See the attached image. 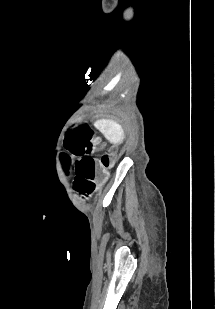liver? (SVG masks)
Masks as SVG:
<instances>
[{
    "mask_svg": "<svg viewBox=\"0 0 215 309\" xmlns=\"http://www.w3.org/2000/svg\"><path fill=\"white\" fill-rule=\"evenodd\" d=\"M95 126L105 134L107 140L114 142V144H120L125 138L124 128H122L121 124H118V122H113V120H111V122L97 120Z\"/></svg>",
    "mask_w": 215,
    "mask_h": 309,
    "instance_id": "liver-1",
    "label": "liver"
}]
</instances>
